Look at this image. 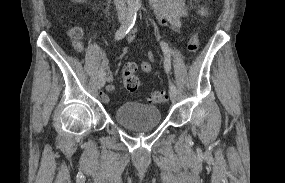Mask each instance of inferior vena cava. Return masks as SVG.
<instances>
[{"mask_svg":"<svg viewBox=\"0 0 285 183\" xmlns=\"http://www.w3.org/2000/svg\"><path fill=\"white\" fill-rule=\"evenodd\" d=\"M116 6L117 14L119 18H124L127 16V6L126 0H114Z\"/></svg>","mask_w":285,"mask_h":183,"instance_id":"1","label":"inferior vena cava"}]
</instances>
